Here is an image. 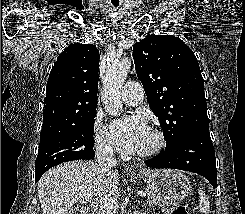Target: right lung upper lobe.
<instances>
[{"instance_id": "obj_1", "label": "right lung upper lobe", "mask_w": 245, "mask_h": 214, "mask_svg": "<svg viewBox=\"0 0 245 214\" xmlns=\"http://www.w3.org/2000/svg\"><path fill=\"white\" fill-rule=\"evenodd\" d=\"M98 71L96 46L75 43L64 49L47 81L41 135L75 124L96 109Z\"/></svg>"}]
</instances>
